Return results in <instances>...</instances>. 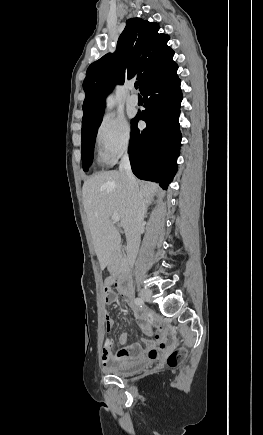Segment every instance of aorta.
<instances>
[{"instance_id": "1", "label": "aorta", "mask_w": 263, "mask_h": 435, "mask_svg": "<svg viewBox=\"0 0 263 435\" xmlns=\"http://www.w3.org/2000/svg\"><path fill=\"white\" fill-rule=\"evenodd\" d=\"M112 106H113L112 99H109L108 102H107V107H108L109 109H111Z\"/></svg>"}]
</instances>
